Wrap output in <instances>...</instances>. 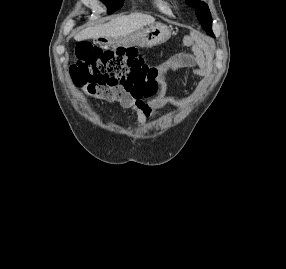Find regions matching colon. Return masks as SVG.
I'll list each match as a JSON object with an SVG mask.
<instances>
[{"label": "colon", "instance_id": "1", "mask_svg": "<svg viewBox=\"0 0 286 269\" xmlns=\"http://www.w3.org/2000/svg\"><path fill=\"white\" fill-rule=\"evenodd\" d=\"M71 73L77 85L97 86L103 92L121 86L138 96L160 88L159 69L147 64L134 48L111 49L80 42Z\"/></svg>", "mask_w": 286, "mask_h": 269}]
</instances>
